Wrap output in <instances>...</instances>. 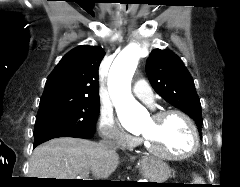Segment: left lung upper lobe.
<instances>
[{
	"instance_id": "1",
	"label": "left lung upper lobe",
	"mask_w": 240,
	"mask_h": 187,
	"mask_svg": "<svg viewBox=\"0 0 240 187\" xmlns=\"http://www.w3.org/2000/svg\"><path fill=\"white\" fill-rule=\"evenodd\" d=\"M146 73L154 90L168 103L189 115L201 132L200 99L183 61L168 49H156L147 59Z\"/></svg>"
}]
</instances>
